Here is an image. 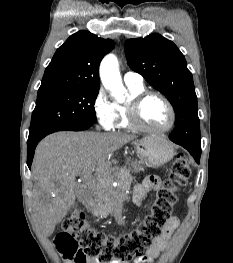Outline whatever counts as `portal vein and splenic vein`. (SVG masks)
Masks as SVG:
<instances>
[{
  "instance_id": "1",
  "label": "portal vein and splenic vein",
  "mask_w": 233,
  "mask_h": 263,
  "mask_svg": "<svg viewBox=\"0 0 233 263\" xmlns=\"http://www.w3.org/2000/svg\"><path fill=\"white\" fill-rule=\"evenodd\" d=\"M93 170H89V171H86V172H83L82 175H83V178L84 180L86 181V183L88 185H91V182H92V176H91V173H92Z\"/></svg>"
}]
</instances>
